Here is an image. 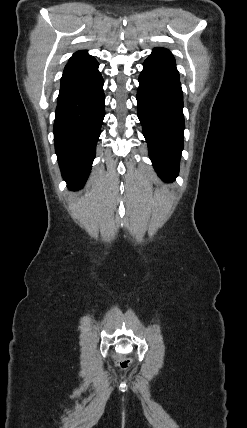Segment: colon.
I'll use <instances>...</instances> for the list:
<instances>
[{
    "mask_svg": "<svg viewBox=\"0 0 247 428\" xmlns=\"http://www.w3.org/2000/svg\"><path fill=\"white\" fill-rule=\"evenodd\" d=\"M130 360L124 357H119L116 359V363L118 364V366L125 368L130 364Z\"/></svg>",
    "mask_w": 247,
    "mask_h": 428,
    "instance_id": "colon-1",
    "label": "colon"
}]
</instances>
